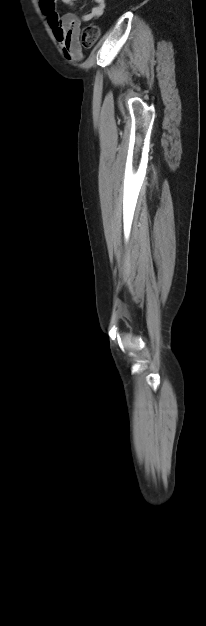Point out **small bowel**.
I'll return each mask as SVG.
<instances>
[{"label": "small bowel", "mask_w": 206, "mask_h": 626, "mask_svg": "<svg viewBox=\"0 0 206 626\" xmlns=\"http://www.w3.org/2000/svg\"><path fill=\"white\" fill-rule=\"evenodd\" d=\"M40 7L46 16L56 41L69 61H81L84 57L80 42L81 22L91 21L103 15L106 8V0H94L95 6L91 11L78 15L70 12L60 15L57 11V3L74 7L76 0H40Z\"/></svg>", "instance_id": "1"}]
</instances>
